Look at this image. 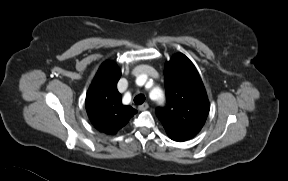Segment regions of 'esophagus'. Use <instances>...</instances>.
I'll return each instance as SVG.
<instances>
[{
    "instance_id": "1",
    "label": "esophagus",
    "mask_w": 288,
    "mask_h": 181,
    "mask_svg": "<svg viewBox=\"0 0 288 181\" xmlns=\"http://www.w3.org/2000/svg\"><path fill=\"white\" fill-rule=\"evenodd\" d=\"M148 108H149L148 103H143V104H141V105L138 107V109H139L140 111H145V110H147Z\"/></svg>"
}]
</instances>
